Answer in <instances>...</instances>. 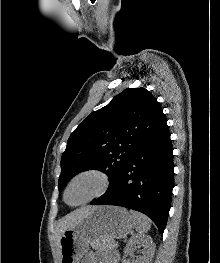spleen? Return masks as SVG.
Wrapping results in <instances>:
<instances>
[{"label": "spleen", "mask_w": 220, "mask_h": 263, "mask_svg": "<svg viewBox=\"0 0 220 263\" xmlns=\"http://www.w3.org/2000/svg\"><path fill=\"white\" fill-rule=\"evenodd\" d=\"M133 219L134 227L139 234H144L150 230V220L143 214L135 211H130Z\"/></svg>", "instance_id": "3e777b00"}]
</instances>
